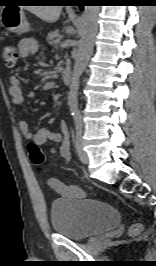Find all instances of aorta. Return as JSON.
<instances>
[{
	"mask_svg": "<svg viewBox=\"0 0 156 266\" xmlns=\"http://www.w3.org/2000/svg\"><path fill=\"white\" fill-rule=\"evenodd\" d=\"M100 6H85L80 32L81 38L78 44V51L72 71L69 91L70 111L72 115H78V90L80 77L83 74L87 62L93 52L95 36L98 30V14Z\"/></svg>",
	"mask_w": 156,
	"mask_h": 266,
	"instance_id": "762f6f07",
	"label": "aorta"
}]
</instances>
